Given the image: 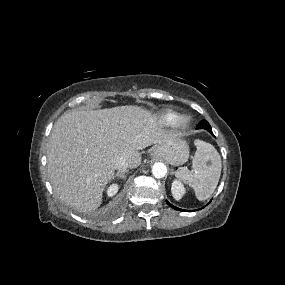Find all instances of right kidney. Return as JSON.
<instances>
[{
    "label": "right kidney",
    "instance_id": "1",
    "mask_svg": "<svg viewBox=\"0 0 285 285\" xmlns=\"http://www.w3.org/2000/svg\"><path fill=\"white\" fill-rule=\"evenodd\" d=\"M119 190L118 184H112L107 189V196L112 197L114 196Z\"/></svg>",
    "mask_w": 285,
    "mask_h": 285
}]
</instances>
